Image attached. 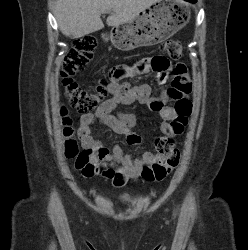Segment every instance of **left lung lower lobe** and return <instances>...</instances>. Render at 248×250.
<instances>
[{"label":"left lung lower lobe","mask_w":248,"mask_h":250,"mask_svg":"<svg viewBox=\"0 0 248 250\" xmlns=\"http://www.w3.org/2000/svg\"><path fill=\"white\" fill-rule=\"evenodd\" d=\"M186 1H189V2H192V3L196 2V0H186Z\"/></svg>","instance_id":"obj_1"}]
</instances>
